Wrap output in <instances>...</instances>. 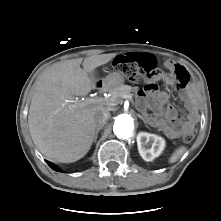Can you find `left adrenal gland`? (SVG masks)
<instances>
[{"label": "left adrenal gland", "instance_id": "1", "mask_svg": "<svg viewBox=\"0 0 221 221\" xmlns=\"http://www.w3.org/2000/svg\"><path fill=\"white\" fill-rule=\"evenodd\" d=\"M138 117H139L140 119H142V120L144 121V123H147V122L145 121V119H144L141 115L138 114Z\"/></svg>", "mask_w": 221, "mask_h": 221}]
</instances>
